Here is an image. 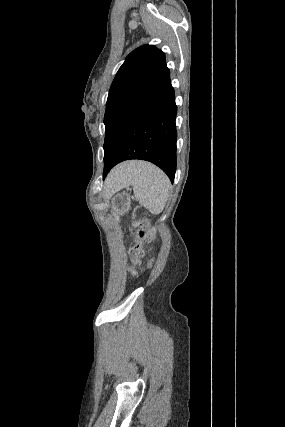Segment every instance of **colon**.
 <instances>
[{
    "label": "colon",
    "instance_id": "5ec220e1",
    "mask_svg": "<svg viewBox=\"0 0 285 427\" xmlns=\"http://www.w3.org/2000/svg\"><path fill=\"white\" fill-rule=\"evenodd\" d=\"M132 230L135 231L138 235V238L141 242L144 243H152L154 240V232L152 229L147 227L146 221L144 220H137L132 223ZM132 252L135 255L141 254V248L139 246H136L132 249ZM132 273H135V268L133 267L131 269Z\"/></svg>",
    "mask_w": 285,
    "mask_h": 427
}]
</instances>
